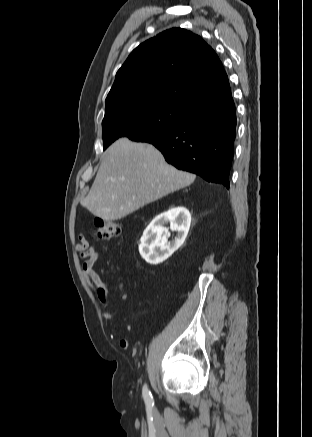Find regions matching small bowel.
Returning a JSON list of instances; mask_svg holds the SVG:
<instances>
[{"mask_svg": "<svg viewBox=\"0 0 312 437\" xmlns=\"http://www.w3.org/2000/svg\"><path fill=\"white\" fill-rule=\"evenodd\" d=\"M76 251L79 257L84 260L81 265L82 273L88 286L100 300L101 306L104 309V317L109 321L114 320L115 315L110 309V287L106 282L101 279L100 275L94 269L95 264L100 258L99 251L94 246L89 244L88 240L83 234H80L78 236ZM109 335L111 339L115 341L121 348L125 350L130 348V342L127 339L121 337L114 326L110 327Z\"/></svg>", "mask_w": 312, "mask_h": 437, "instance_id": "c3829d8e", "label": "small bowel"}]
</instances>
